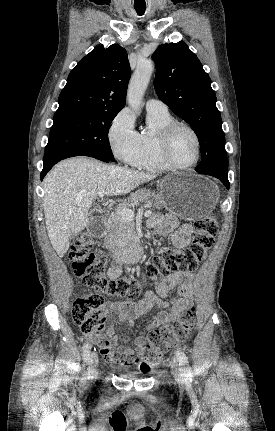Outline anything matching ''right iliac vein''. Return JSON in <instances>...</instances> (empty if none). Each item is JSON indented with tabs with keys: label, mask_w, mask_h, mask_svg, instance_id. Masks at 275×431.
Masks as SVG:
<instances>
[{
	"label": "right iliac vein",
	"mask_w": 275,
	"mask_h": 431,
	"mask_svg": "<svg viewBox=\"0 0 275 431\" xmlns=\"http://www.w3.org/2000/svg\"><path fill=\"white\" fill-rule=\"evenodd\" d=\"M89 368H88V373L90 377H95L98 373L97 371V367H98V357L97 354L95 352H92L90 357H89Z\"/></svg>",
	"instance_id": "1"
}]
</instances>
